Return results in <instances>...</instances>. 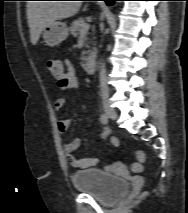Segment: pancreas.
<instances>
[{
    "instance_id": "cf45deb5",
    "label": "pancreas",
    "mask_w": 188,
    "mask_h": 213,
    "mask_svg": "<svg viewBox=\"0 0 188 213\" xmlns=\"http://www.w3.org/2000/svg\"><path fill=\"white\" fill-rule=\"evenodd\" d=\"M84 24H86L84 19H82V18L76 19L75 21H73L71 23V26L69 27L70 33L74 37L79 36L81 34V28ZM86 46H88V43L86 44ZM87 53H88L87 51L82 52L81 60L86 61L88 59L86 56Z\"/></svg>"
}]
</instances>
